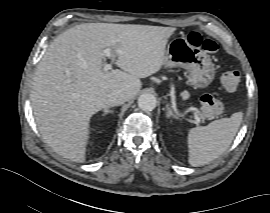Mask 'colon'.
<instances>
[{"label":"colon","instance_id":"5ec220e1","mask_svg":"<svg viewBox=\"0 0 270 213\" xmlns=\"http://www.w3.org/2000/svg\"><path fill=\"white\" fill-rule=\"evenodd\" d=\"M188 42L192 46H202L208 53H216L219 50V45L211 40L204 39L198 32H191L188 35ZM240 82V73L237 70H232L224 73L221 77V84L227 91H234ZM223 109L220 100L213 95L206 94L201 97V112L207 117H212L219 114Z\"/></svg>","mask_w":270,"mask_h":213}]
</instances>
